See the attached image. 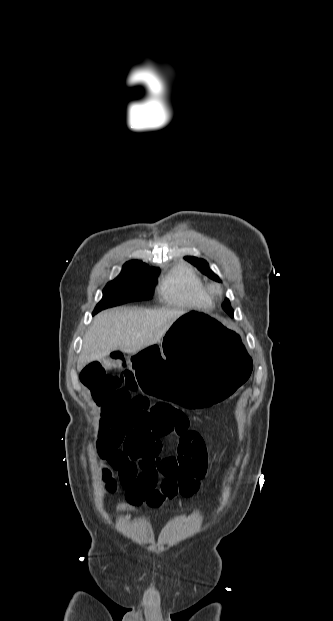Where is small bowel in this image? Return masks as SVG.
<instances>
[{"instance_id": "obj_1", "label": "small bowel", "mask_w": 333, "mask_h": 621, "mask_svg": "<svg viewBox=\"0 0 333 621\" xmlns=\"http://www.w3.org/2000/svg\"><path fill=\"white\" fill-rule=\"evenodd\" d=\"M113 371L120 374L114 375ZM79 379L100 408L99 456L119 471L132 461L138 462L141 471L136 470L128 485L127 506L146 503L158 507L165 498L177 494L188 497L198 490L207 470L203 440L188 429V419L180 409L162 402L151 403L137 393L135 378L126 369L120 351L89 361ZM172 434L179 437L178 454L160 458L161 439ZM159 474L164 479L158 485Z\"/></svg>"}]
</instances>
